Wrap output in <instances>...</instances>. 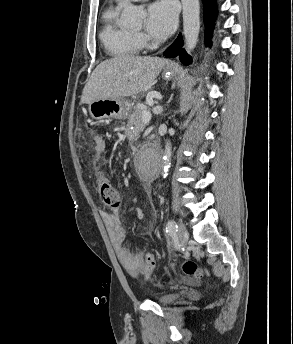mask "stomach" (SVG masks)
<instances>
[{
	"label": "stomach",
	"mask_w": 293,
	"mask_h": 344,
	"mask_svg": "<svg viewBox=\"0 0 293 344\" xmlns=\"http://www.w3.org/2000/svg\"><path fill=\"white\" fill-rule=\"evenodd\" d=\"M163 77L170 78L171 72L164 71ZM89 113L95 120L125 119L129 114V105L123 98L99 99L89 104Z\"/></svg>",
	"instance_id": "obj_1"
}]
</instances>
